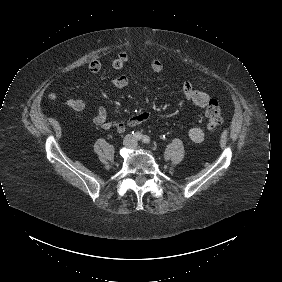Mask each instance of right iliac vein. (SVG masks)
<instances>
[{
    "mask_svg": "<svg viewBox=\"0 0 282 282\" xmlns=\"http://www.w3.org/2000/svg\"><path fill=\"white\" fill-rule=\"evenodd\" d=\"M132 144V138L130 136H127L124 140H123V145L125 146H130Z\"/></svg>",
    "mask_w": 282,
    "mask_h": 282,
    "instance_id": "right-iliac-vein-1",
    "label": "right iliac vein"
}]
</instances>
